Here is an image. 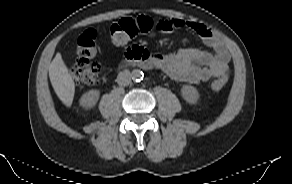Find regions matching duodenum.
Masks as SVG:
<instances>
[{"instance_id":"1","label":"duodenum","mask_w":292,"mask_h":184,"mask_svg":"<svg viewBox=\"0 0 292 184\" xmlns=\"http://www.w3.org/2000/svg\"><path fill=\"white\" fill-rule=\"evenodd\" d=\"M127 54L128 60L122 63L121 69L132 63L141 69H149L157 64L155 57L147 52L131 50Z\"/></svg>"}]
</instances>
